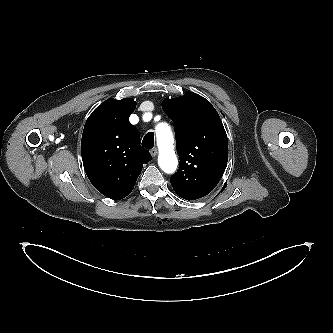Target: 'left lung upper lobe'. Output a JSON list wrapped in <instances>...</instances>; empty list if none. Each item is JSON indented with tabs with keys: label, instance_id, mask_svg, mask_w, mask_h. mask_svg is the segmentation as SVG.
<instances>
[{
	"label": "left lung upper lobe",
	"instance_id": "5c2ea615",
	"mask_svg": "<svg viewBox=\"0 0 333 333\" xmlns=\"http://www.w3.org/2000/svg\"><path fill=\"white\" fill-rule=\"evenodd\" d=\"M174 121L178 171L170 179L174 191L188 201L209 194L220 181L228 161V140L211 103L193 92L162 103Z\"/></svg>",
	"mask_w": 333,
	"mask_h": 333
}]
</instances>
